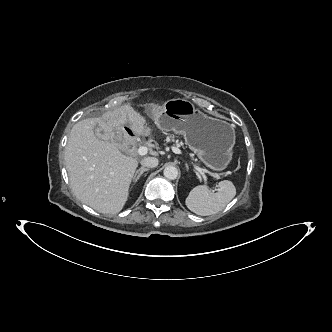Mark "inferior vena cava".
<instances>
[{
    "label": "inferior vena cava",
    "instance_id": "1",
    "mask_svg": "<svg viewBox=\"0 0 332 332\" xmlns=\"http://www.w3.org/2000/svg\"><path fill=\"white\" fill-rule=\"evenodd\" d=\"M159 161L156 157H147L141 160V165L147 168L157 167Z\"/></svg>",
    "mask_w": 332,
    "mask_h": 332
}]
</instances>
